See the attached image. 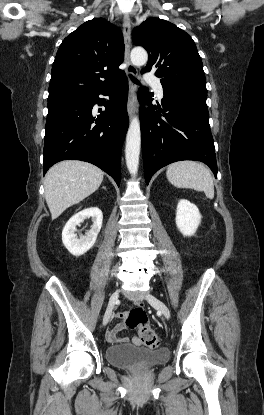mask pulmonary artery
<instances>
[{"label":"pulmonary artery","mask_w":264,"mask_h":415,"mask_svg":"<svg viewBox=\"0 0 264 415\" xmlns=\"http://www.w3.org/2000/svg\"><path fill=\"white\" fill-rule=\"evenodd\" d=\"M144 79H145V81L152 84L157 96L159 98H162L164 93H163V88H162V85H161L160 81L157 78H155V77H153L152 75H149V74H146L144 76Z\"/></svg>","instance_id":"obj_1"}]
</instances>
